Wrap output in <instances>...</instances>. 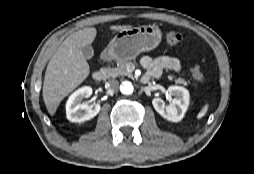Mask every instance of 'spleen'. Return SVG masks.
I'll list each match as a JSON object with an SVG mask.
<instances>
[{
    "mask_svg": "<svg viewBox=\"0 0 254 174\" xmlns=\"http://www.w3.org/2000/svg\"><path fill=\"white\" fill-rule=\"evenodd\" d=\"M208 107H209V105L206 104V105L200 110V112H199L198 115H197V118H198V119H201L202 117L205 116V114H206L207 111H208Z\"/></svg>",
    "mask_w": 254,
    "mask_h": 174,
    "instance_id": "spleen-1",
    "label": "spleen"
}]
</instances>
